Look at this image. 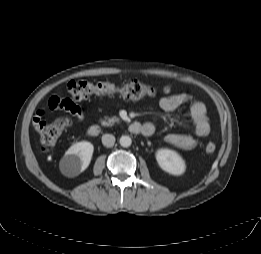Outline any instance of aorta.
<instances>
[{"mask_svg": "<svg viewBox=\"0 0 261 254\" xmlns=\"http://www.w3.org/2000/svg\"><path fill=\"white\" fill-rule=\"evenodd\" d=\"M119 142L122 147H129L132 143V140L129 136L124 135L121 136Z\"/></svg>", "mask_w": 261, "mask_h": 254, "instance_id": "aorta-1", "label": "aorta"}]
</instances>
